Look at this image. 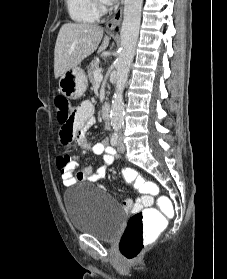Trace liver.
I'll return each mask as SVG.
<instances>
[{"mask_svg":"<svg viewBox=\"0 0 227 279\" xmlns=\"http://www.w3.org/2000/svg\"><path fill=\"white\" fill-rule=\"evenodd\" d=\"M103 37V28L88 23H65L57 36L54 50V75L59 78L66 71L77 67L97 50ZM109 38L104 37L98 53L104 51Z\"/></svg>","mask_w":227,"mask_h":279,"instance_id":"liver-1","label":"liver"}]
</instances>
